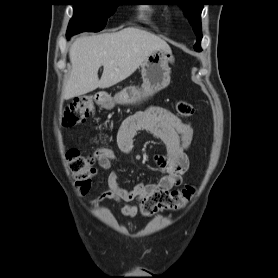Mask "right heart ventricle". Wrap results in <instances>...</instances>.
Masks as SVG:
<instances>
[{
  "instance_id": "right-heart-ventricle-1",
  "label": "right heart ventricle",
  "mask_w": 278,
  "mask_h": 278,
  "mask_svg": "<svg viewBox=\"0 0 278 278\" xmlns=\"http://www.w3.org/2000/svg\"><path fill=\"white\" fill-rule=\"evenodd\" d=\"M153 12V9L150 7H142L141 8V16L145 19L149 18Z\"/></svg>"
}]
</instances>
